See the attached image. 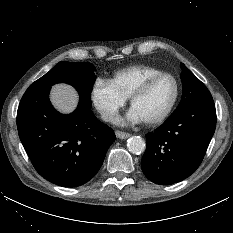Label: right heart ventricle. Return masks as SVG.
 <instances>
[{
	"label": "right heart ventricle",
	"mask_w": 233,
	"mask_h": 233,
	"mask_svg": "<svg viewBox=\"0 0 233 233\" xmlns=\"http://www.w3.org/2000/svg\"><path fill=\"white\" fill-rule=\"evenodd\" d=\"M161 72L162 70L154 66L133 65L117 71L111 82L125 98H129L146 78Z\"/></svg>",
	"instance_id": "e07e8e85"
}]
</instances>
